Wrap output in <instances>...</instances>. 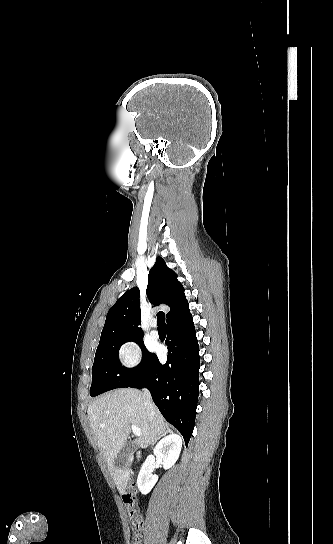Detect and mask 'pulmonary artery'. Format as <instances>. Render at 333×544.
Masks as SVG:
<instances>
[{
	"instance_id": "e3ab8cb5",
	"label": "pulmonary artery",
	"mask_w": 333,
	"mask_h": 544,
	"mask_svg": "<svg viewBox=\"0 0 333 544\" xmlns=\"http://www.w3.org/2000/svg\"><path fill=\"white\" fill-rule=\"evenodd\" d=\"M150 324H151V326H152V328H153L152 331H151V333H150V335H151V337H152L153 339L156 340V339H158V337H159L158 330L156 329V328H157V321H156V320H152Z\"/></svg>"
}]
</instances>
